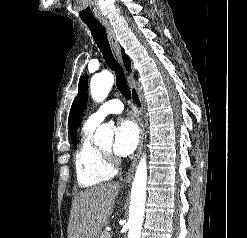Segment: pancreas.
<instances>
[{"instance_id": "cf45deb5", "label": "pancreas", "mask_w": 247, "mask_h": 238, "mask_svg": "<svg viewBox=\"0 0 247 238\" xmlns=\"http://www.w3.org/2000/svg\"><path fill=\"white\" fill-rule=\"evenodd\" d=\"M100 238H111V235H110L109 232L103 231V232L101 233Z\"/></svg>"}]
</instances>
